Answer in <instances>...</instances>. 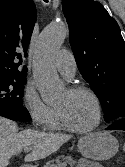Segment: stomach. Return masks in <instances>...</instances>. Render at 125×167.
<instances>
[{"label": "stomach", "instance_id": "0dacf381", "mask_svg": "<svg viewBox=\"0 0 125 167\" xmlns=\"http://www.w3.org/2000/svg\"><path fill=\"white\" fill-rule=\"evenodd\" d=\"M117 139L106 132L87 134L78 141V150L86 158L103 161L113 157L118 152Z\"/></svg>", "mask_w": 125, "mask_h": 167}]
</instances>
